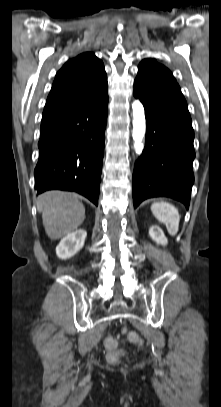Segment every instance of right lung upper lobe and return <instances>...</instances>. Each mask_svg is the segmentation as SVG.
<instances>
[{
    "mask_svg": "<svg viewBox=\"0 0 221 407\" xmlns=\"http://www.w3.org/2000/svg\"><path fill=\"white\" fill-rule=\"evenodd\" d=\"M106 91L102 61L94 53H82L57 72L43 114L84 104Z\"/></svg>",
    "mask_w": 221,
    "mask_h": 407,
    "instance_id": "1",
    "label": "right lung upper lobe"
}]
</instances>
